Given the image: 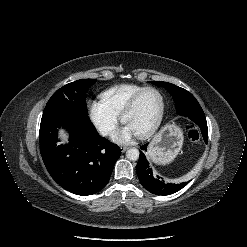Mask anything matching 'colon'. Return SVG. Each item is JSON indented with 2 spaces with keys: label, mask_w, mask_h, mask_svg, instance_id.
Segmentation results:
<instances>
[{
  "label": "colon",
  "mask_w": 247,
  "mask_h": 247,
  "mask_svg": "<svg viewBox=\"0 0 247 247\" xmlns=\"http://www.w3.org/2000/svg\"><path fill=\"white\" fill-rule=\"evenodd\" d=\"M188 136L191 141L199 144L202 141V133L199 128L194 125H189L188 127Z\"/></svg>",
  "instance_id": "5ec220e1"
}]
</instances>
